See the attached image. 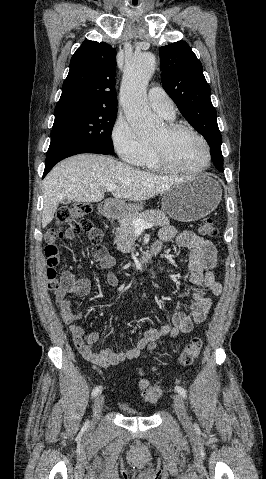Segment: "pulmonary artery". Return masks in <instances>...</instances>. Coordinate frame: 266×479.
<instances>
[{"mask_svg": "<svg viewBox=\"0 0 266 479\" xmlns=\"http://www.w3.org/2000/svg\"><path fill=\"white\" fill-rule=\"evenodd\" d=\"M150 107L164 118L172 120L175 117L174 104L167 93L160 87H153L148 92Z\"/></svg>", "mask_w": 266, "mask_h": 479, "instance_id": "obj_1", "label": "pulmonary artery"}]
</instances>
